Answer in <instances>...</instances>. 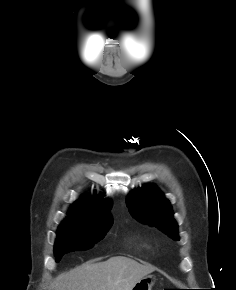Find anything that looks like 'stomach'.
Returning a JSON list of instances; mask_svg holds the SVG:
<instances>
[{
    "mask_svg": "<svg viewBox=\"0 0 236 290\" xmlns=\"http://www.w3.org/2000/svg\"><path fill=\"white\" fill-rule=\"evenodd\" d=\"M155 280L154 275L145 276L134 285L132 290H151Z\"/></svg>",
    "mask_w": 236,
    "mask_h": 290,
    "instance_id": "obj_1",
    "label": "stomach"
}]
</instances>
